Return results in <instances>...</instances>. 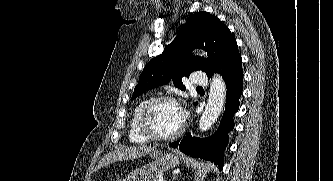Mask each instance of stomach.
I'll return each mask as SVG.
<instances>
[{"label":"stomach","instance_id":"0dacf381","mask_svg":"<svg viewBox=\"0 0 333 181\" xmlns=\"http://www.w3.org/2000/svg\"><path fill=\"white\" fill-rule=\"evenodd\" d=\"M152 161L132 170L123 181H154L168 170L178 166L179 156L173 153H163L157 150L151 154Z\"/></svg>","mask_w":333,"mask_h":181}]
</instances>
